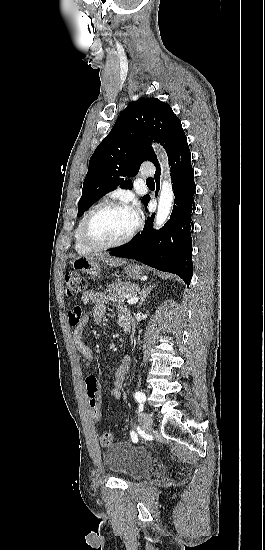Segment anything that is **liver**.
Here are the masks:
<instances>
[{
	"mask_svg": "<svg viewBox=\"0 0 265 550\" xmlns=\"http://www.w3.org/2000/svg\"><path fill=\"white\" fill-rule=\"evenodd\" d=\"M94 256L97 257L100 261L106 262L108 265L113 266V267L121 266L125 263V261H123L121 259L109 258V257H106L103 254H96Z\"/></svg>",
	"mask_w": 265,
	"mask_h": 550,
	"instance_id": "1",
	"label": "liver"
}]
</instances>
